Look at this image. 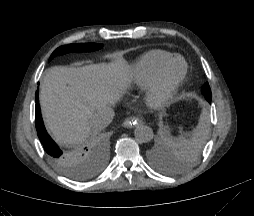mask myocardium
I'll list each match as a JSON object with an SVG mask.
<instances>
[{
    "label": "myocardium",
    "instance_id": "obj_1",
    "mask_svg": "<svg viewBox=\"0 0 254 216\" xmlns=\"http://www.w3.org/2000/svg\"><path fill=\"white\" fill-rule=\"evenodd\" d=\"M176 61H180L182 63V70L173 81L167 83L165 81V73L169 66ZM187 72L188 64L183 57L178 55L170 57L160 65L152 82L145 89L143 94L144 102L157 109L166 107L172 100L180 85L183 83Z\"/></svg>",
    "mask_w": 254,
    "mask_h": 216
}]
</instances>
